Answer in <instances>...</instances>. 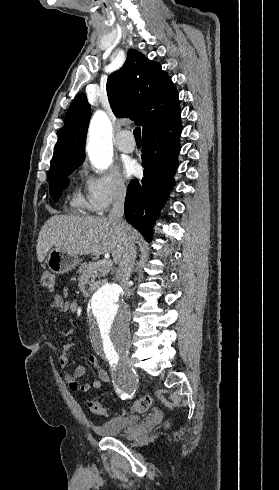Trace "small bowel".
<instances>
[{"label": "small bowel", "mask_w": 279, "mask_h": 490, "mask_svg": "<svg viewBox=\"0 0 279 490\" xmlns=\"http://www.w3.org/2000/svg\"><path fill=\"white\" fill-rule=\"evenodd\" d=\"M50 307L57 310L58 312L66 313L70 310L71 305L69 301L63 299L59 295H56L52 299ZM80 343L81 340H74L61 346L58 358V362L61 367H67L69 365L71 349L80 345ZM88 362L95 371L97 379L93 380L90 384L80 383L79 380L85 376L86 369L83 366H77L72 373H68L65 375V381L69 384V387L72 391L88 392L91 389L101 388L102 384L109 381L108 372L100 366L96 356L90 355L88 358Z\"/></svg>", "instance_id": "obj_1"}]
</instances>
